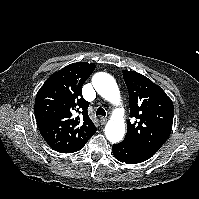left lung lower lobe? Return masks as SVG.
Listing matches in <instances>:
<instances>
[{"mask_svg": "<svg viewBox=\"0 0 199 199\" xmlns=\"http://www.w3.org/2000/svg\"><path fill=\"white\" fill-rule=\"evenodd\" d=\"M113 155L117 160L126 164L141 163L152 156L124 140L119 144L113 145Z\"/></svg>", "mask_w": 199, "mask_h": 199, "instance_id": "0a47b994", "label": "left lung lower lobe"}]
</instances>
